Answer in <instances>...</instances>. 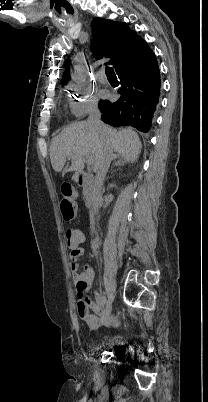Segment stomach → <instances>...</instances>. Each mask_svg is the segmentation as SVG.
Returning <instances> with one entry per match:
<instances>
[{
	"mask_svg": "<svg viewBox=\"0 0 208 402\" xmlns=\"http://www.w3.org/2000/svg\"><path fill=\"white\" fill-rule=\"evenodd\" d=\"M73 180H76L75 176H73Z\"/></svg>",
	"mask_w": 208,
	"mask_h": 402,
	"instance_id": "0dacf381",
	"label": "stomach"
}]
</instances>
